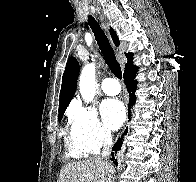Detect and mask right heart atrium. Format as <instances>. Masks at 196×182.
Masks as SVG:
<instances>
[{
    "label": "right heart atrium",
    "mask_w": 196,
    "mask_h": 182,
    "mask_svg": "<svg viewBox=\"0 0 196 182\" xmlns=\"http://www.w3.org/2000/svg\"><path fill=\"white\" fill-rule=\"evenodd\" d=\"M71 133L86 154H93L111 142V134L93 108L80 104L70 110Z\"/></svg>",
    "instance_id": "1"
}]
</instances>
